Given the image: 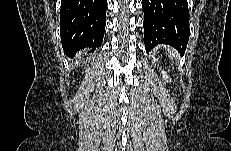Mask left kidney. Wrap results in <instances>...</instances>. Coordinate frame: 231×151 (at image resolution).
I'll return each mask as SVG.
<instances>
[{
    "label": "left kidney",
    "instance_id": "5707ae66",
    "mask_svg": "<svg viewBox=\"0 0 231 151\" xmlns=\"http://www.w3.org/2000/svg\"><path fill=\"white\" fill-rule=\"evenodd\" d=\"M162 74H163V78H165L167 80L168 77H167L166 73L164 71H162Z\"/></svg>",
    "mask_w": 231,
    "mask_h": 151
}]
</instances>
